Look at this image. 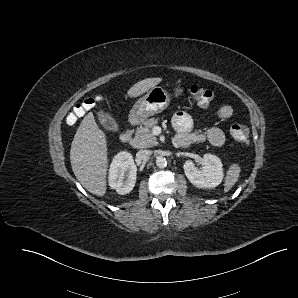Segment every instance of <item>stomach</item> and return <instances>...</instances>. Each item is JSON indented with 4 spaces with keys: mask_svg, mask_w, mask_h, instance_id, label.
Masks as SVG:
<instances>
[{
    "mask_svg": "<svg viewBox=\"0 0 298 298\" xmlns=\"http://www.w3.org/2000/svg\"><path fill=\"white\" fill-rule=\"evenodd\" d=\"M184 89L177 86L174 89L175 96L178 97L183 93ZM171 101V95L161 86L152 87L143 97L137 100L134 104L130 117L143 121L149 116L161 113L164 111Z\"/></svg>",
    "mask_w": 298,
    "mask_h": 298,
    "instance_id": "0dacf381",
    "label": "stomach"
}]
</instances>
